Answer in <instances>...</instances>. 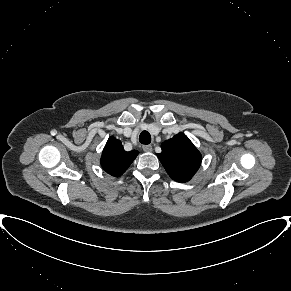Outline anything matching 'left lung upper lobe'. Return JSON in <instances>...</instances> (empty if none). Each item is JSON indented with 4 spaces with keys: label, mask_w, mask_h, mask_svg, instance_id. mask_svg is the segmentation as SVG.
<instances>
[{
    "label": "left lung upper lobe",
    "mask_w": 291,
    "mask_h": 291,
    "mask_svg": "<svg viewBox=\"0 0 291 291\" xmlns=\"http://www.w3.org/2000/svg\"><path fill=\"white\" fill-rule=\"evenodd\" d=\"M158 158L169 176L177 182L189 181L201 164V154L182 133L165 141Z\"/></svg>",
    "instance_id": "5c2ea615"
}]
</instances>
